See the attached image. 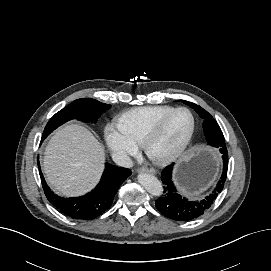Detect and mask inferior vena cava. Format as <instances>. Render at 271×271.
<instances>
[{"label":"inferior vena cava","mask_w":271,"mask_h":271,"mask_svg":"<svg viewBox=\"0 0 271 271\" xmlns=\"http://www.w3.org/2000/svg\"><path fill=\"white\" fill-rule=\"evenodd\" d=\"M112 159L119 166L126 168H131L133 166L131 158L123 151L112 153Z\"/></svg>","instance_id":"obj_1"}]
</instances>
